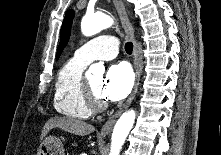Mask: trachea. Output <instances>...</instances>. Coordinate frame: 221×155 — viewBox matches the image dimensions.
Listing matches in <instances>:
<instances>
[{
	"instance_id": "1",
	"label": "trachea",
	"mask_w": 221,
	"mask_h": 155,
	"mask_svg": "<svg viewBox=\"0 0 221 155\" xmlns=\"http://www.w3.org/2000/svg\"><path fill=\"white\" fill-rule=\"evenodd\" d=\"M125 51L128 53V54H132V51H133V44L132 42H127L125 44Z\"/></svg>"
}]
</instances>
